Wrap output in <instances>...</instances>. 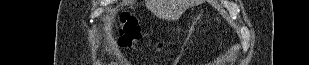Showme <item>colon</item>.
I'll return each mask as SVG.
<instances>
[{"mask_svg": "<svg viewBox=\"0 0 309 65\" xmlns=\"http://www.w3.org/2000/svg\"><path fill=\"white\" fill-rule=\"evenodd\" d=\"M120 34L119 44L122 47H130L134 40L141 37V29L138 25L137 19L129 13L123 12L119 16Z\"/></svg>", "mask_w": 309, "mask_h": 65, "instance_id": "1", "label": "colon"}]
</instances>
